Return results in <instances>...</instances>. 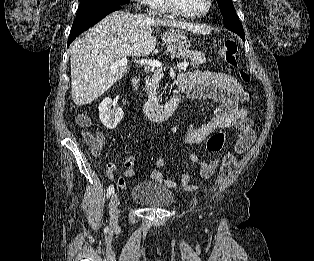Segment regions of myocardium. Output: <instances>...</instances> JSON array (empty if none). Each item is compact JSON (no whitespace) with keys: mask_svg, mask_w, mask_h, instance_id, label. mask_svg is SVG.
Here are the masks:
<instances>
[{"mask_svg":"<svg viewBox=\"0 0 314 261\" xmlns=\"http://www.w3.org/2000/svg\"><path fill=\"white\" fill-rule=\"evenodd\" d=\"M164 3L166 5V7L173 13L186 17V18H192V19H196V18H201L206 16L212 9L213 7V0H208L207 1V7L205 8V10H203L202 12L199 13H190L186 10H184L183 8H181L177 2L175 0H164Z\"/></svg>","mask_w":314,"mask_h":261,"instance_id":"myocardium-1","label":"myocardium"}]
</instances>
